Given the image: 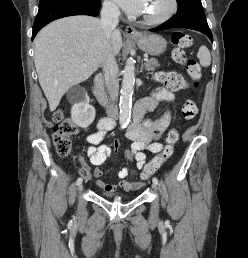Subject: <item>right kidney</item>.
Masks as SVG:
<instances>
[{
  "label": "right kidney",
  "instance_id": "ca27d5eb",
  "mask_svg": "<svg viewBox=\"0 0 248 258\" xmlns=\"http://www.w3.org/2000/svg\"><path fill=\"white\" fill-rule=\"evenodd\" d=\"M68 99L73 102L71 109L72 121L79 127H88L95 119V108L89 105V97L84 88L76 87L68 93Z\"/></svg>",
  "mask_w": 248,
  "mask_h": 258
}]
</instances>
